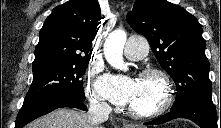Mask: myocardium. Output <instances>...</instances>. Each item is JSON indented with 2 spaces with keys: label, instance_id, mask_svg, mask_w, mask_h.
Segmentation results:
<instances>
[{
  "label": "myocardium",
  "instance_id": "f54148a6",
  "mask_svg": "<svg viewBox=\"0 0 221 128\" xmlns=\"http://www.w3.org/2000/svg\"><path fill=\"white\" fill-rule=\"evenodd\" d=\"M142 79L153 78L160 85V92L153 105L148 109L128 108V113L138 119L154 118L164 113L170 106L173 98V85L169 75L161 69L149 67L141 74Z\"/></svg>",
  "mask_w": 221,
  "mask_h": 128
}]
</instances>
